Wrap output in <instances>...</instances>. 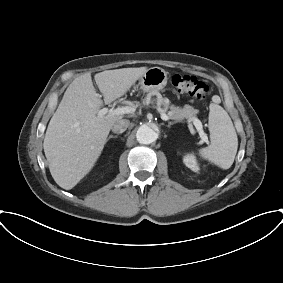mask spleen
I'll list each match as a JSON object with an SVG mask.
<instances>
[{
  "label": "spleen",
  "mask_w": 283,
  "mask_h": 283,
  "mask_svg": "<svg viewBox=\"0 0 283 283\" xmlns=\"http://www.w3.org/2000/svg\"><path fill=\"white\" fill-rule=\"evenodd\" d=\"M209 131L211 144L199 149L198 154L205 160L226 170L235 159L238 138L228 113L217 103L209 106Z\"/></svg>",
  "instance_id": "1"
}]
</instances>
